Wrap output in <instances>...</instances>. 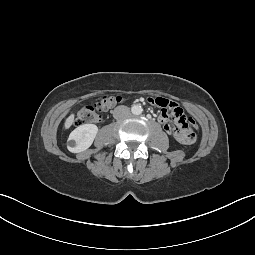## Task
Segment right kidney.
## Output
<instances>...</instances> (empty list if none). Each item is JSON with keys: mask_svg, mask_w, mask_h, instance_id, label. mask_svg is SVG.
I'll list each match as a JSON object with an SVG mask.
<instances>
[{"mask_svg": "<svg viewBox=\"0 0 255 255\" xmlns=\"http://www.w3.org/2000/svg\"><path fill=\"white\" fill-rule=\"evenodd\" d=\"M98 132L94 124H84L74 129L67 140V148L70 152L79 153L88 149Z\"/></svg>", "mask_w": 255, "mask_h": 255, "instance_id": "right-kidney-1", "label": "right kidney"}]
</instances>
